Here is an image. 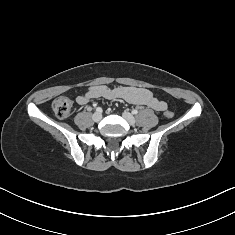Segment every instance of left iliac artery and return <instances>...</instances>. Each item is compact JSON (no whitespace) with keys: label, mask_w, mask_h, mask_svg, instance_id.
I'll return each mask as SVG.
<instances>
[{"label":"left iliac artery","mask_w":235,"mask_h":235,"mask_svg":"<svg viewBox=\"0 0 235 235\" xmlns=\"http://www.w3.org/2000/svg\"><path fill=\"white\" fill-rule=\"evenodd\" d=\"M132 113L136 115V114H138V110L134 109V110H132Z\"/></svg>","instance_id":"1"}]
</instances>
